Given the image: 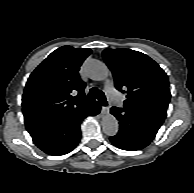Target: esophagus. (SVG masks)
Segmentation results:
<instances>
[{"mask_svg": "<svg viewBox=\"0 0 194 193\" xmlns=\"http://www.w3.org/2000/svg\"><path fill=\"white\" fill-rule=\"evenodd\" d=\"M101 112H102V114H108L109 113V108L105 107V106H102L101 107Z\"/></svg>", "mask_w": 194, "mask_h": 193, "instance_id": "esophagus-1", "label": "esophagus"}]
</instances>
